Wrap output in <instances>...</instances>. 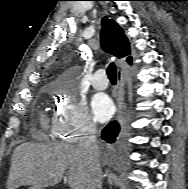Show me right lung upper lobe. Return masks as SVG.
I'll list each match as a JSON object with an SVG mask.
<instances>
[{
    "instance_id": "obj_1",
    "label": "right lung upper lobe",
    "mask_w": 188,
    "mask_h": 189,
    "mask_svg": "<svg viewBox=\"0 0 188 189\" xmlns=\"http://www.w3.org/2000/svg\"><path fill=\"white\" fill-rule=\"evenodd\" d=\"M101 45L106 52L118 58L127 57L131 53L124 31L115 21L107 17L102 19ZM127 61L131 63L132 58L129 56Z\"/></svg>"
}]
</instances>
